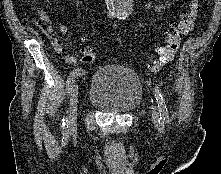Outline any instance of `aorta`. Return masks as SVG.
Masks as SVG:
<instances>
[{
  "label": "aorta",
  "instance_id": "aorta-1",
  "mask_svg": "<svg viewBox=\"0 0 221 174\" xmlns=\"http://www.w3.org/2000/svg\"><path fill=\"white\" fill-rule=\"evenodd\" d=\"M107 11L112 17L126 18L132 10L133 0H105Z\"/></svg>",
  "mask_w": 221,
  "mask_h": 174
}]
</instances>
